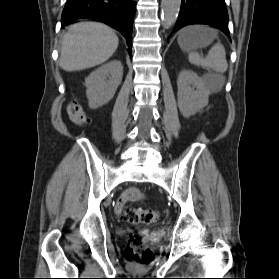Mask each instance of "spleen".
Masks as SVG:
<instances>
[{"instance_id": "spleen-1", "label": "spleen", "mask_w": 279, "mask_h": 279, "mask_svg": "<svg viewBox=\"0 0 279 279\" xmlns=\"http://www.w3.org/2000/svg\"><path fill=\"white\" fill-rule=\"evenodd\" d=\"M188 57L191 64L202 66L218 73V80L210 84V89L213 92L220 91L224 85V77L222 74L228 68L225 49L220 41L211 47L205 58H202L197 52H190Z\"/></svg>"}]
</instances>
